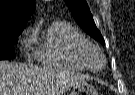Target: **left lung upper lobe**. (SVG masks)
<instances>
[{
  "label": "left lung upper lobe",
  "instance_id": "5c2ea615",
  "mask_svg": "<svg viewBox=\"0 0 135 95\" xmlns=\"http://www.w3.org/2000/svg\"><path fill=\"white\" fill-rule=\"evenodd\" d=\"M68 7L71 10V13L76 20V22L80 25V27L88 33L95 40L100 42L101 44H105V41L97 29L90 9L85 0H64Z\"/></svg>",
  "mask_w": 135,
  "mask_h": 95
}]
</instances>
